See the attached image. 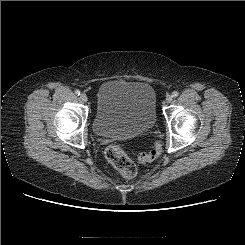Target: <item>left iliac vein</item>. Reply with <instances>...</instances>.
I'll return each instance as SVG.
<instances>
[{
  "instance_id": "4c4485c4",
  "label": "left iliac vein",
  "mask_w": 245,
  "mask_h": 245,
  "mask_svg": "<svg viewBox=\"0 0 245 245\" xmlns=\"http://www.w3.org/2000/svg\"><path fill=\"white\" fill-rule=\"evenodd\" d=\"M172 99H173L172 95H167L166 96V102L167 103H170L172 101Z\"/></svg>"
}]
</instances>
